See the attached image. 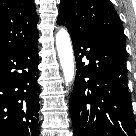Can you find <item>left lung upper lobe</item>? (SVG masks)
Wrapping results in <instances>:
<instances>
[{"mask_svg":"<svg viewBox=\"0 0 136 136\" xmlns=\"http://www.w3.org/2000/svg\"><path fill=\"white\" fill-rule=\"evenodd\" d=\"M57 23L71 34L105 38L125 48L123 26L109 0H61Z\"/></svg>","mask_w":136,"mask_h":136,"instance_id":"obj_1","label":"left lung upper lobe"}]
</instances>
